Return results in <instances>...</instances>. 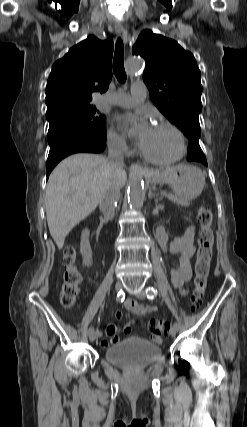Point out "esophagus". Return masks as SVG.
<instances>
[{"mask_svg": "<svg viewBox=\"0 0 247 427\" xmlns=\"http://www.w3.org/2000/svg\"><path fill=\"white\" fill-rule=\"evenodd\" d=\"M115 31L119 36L125 37V35H126L125 29L122 25H116ZM130 169L134 170V171H139L143 174H152L153 173V171L149 170L146 167H143L142 165H140L138 163H132L130 165Z\"/></svg>", "mask_w": 247, "mask_h": 427, "instance_id": "34e87169", "label": "esophagus"}]
</instances>
